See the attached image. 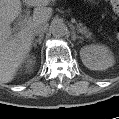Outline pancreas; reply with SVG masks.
I'll return each instance as SVG.
<instances>
[{
    "instance_id": "1",
    "label": "pancreas",
    "mask_w": 119,
    "mask_h": 119,
    "mask_svg": "<svg viewBox=\"0 0 119 119\" xmlns=\"http://www.w3.org/2000/svg\"><path fill=\"white\" fill-rule=\"evenodd\" d=\"M78 31L84 35L86 38H91L92 37V33L88 31V29L86 27H83L82 24H78Z\"/></svg>"
}]
</instances>
